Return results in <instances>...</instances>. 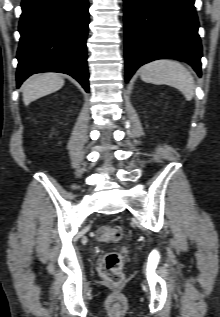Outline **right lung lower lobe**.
<instances>
[{
	"label": "right lung lower lobe",
	"mask_w": 220,
	"mask_h": 317,
	"mask_svg": "<svg viewBox=\"0 0 220 317\" xmlns=\"http://www.w3.org/2000/svg\"><path fill=\"white\" fill-rule=\"evenodd\" d=\"M17 87L30 75L60 72L89 92L88 0H22Z\"/></svg>",
	"instance_id": "98d812e1"
}]
</instances>
